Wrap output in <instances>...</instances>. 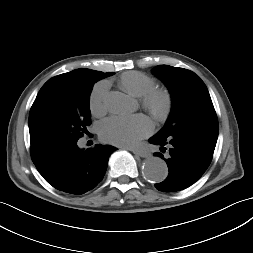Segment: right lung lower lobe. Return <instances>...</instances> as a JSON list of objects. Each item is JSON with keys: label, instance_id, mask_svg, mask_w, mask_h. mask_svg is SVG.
<instances>
[{"label": "right lung lower lobe", "instance_id": "98d812e1", "mask_svg": "<svg viewBox=\"0 0 253 253\" xmlns=\"http://www.w3.org/2000/svg\"><path fill=\"white\" fill-rule=\"evenodd\" d=\"M114 151L115 147L101 144L83 150L76 142L54 152L35 166L54 188L70 194H83L101 182L108 158Z\"/></svg>", "mask_w": 253, "mask_h": 253}]
</instances>
